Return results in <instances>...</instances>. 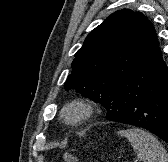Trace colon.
<instances>
[{
    "label": "colon",
    "instance_id": "colon-1",
    "mask_svg": "<svg viewBox=\"0 0 168 162\" xmlns=\"http://www.w3.org/2000/svg\"><path fill=\"white\" fill-rule=\"evenodd\" d=\"M64 162H76V158L72 154H64L63 155Z\"/></svg>",
    "mask_w": 168,
    "mask_h": 162
}]
</instances>
